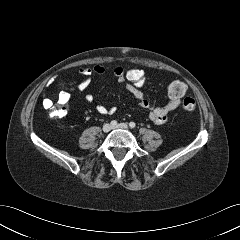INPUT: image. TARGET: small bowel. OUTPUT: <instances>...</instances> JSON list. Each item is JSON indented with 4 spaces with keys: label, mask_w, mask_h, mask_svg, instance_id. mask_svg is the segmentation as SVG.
Wrapping results in <instances>:
<instances>
[{
    "label": "small bowel",
    "mask_w": 240,
    "mask_h": 240,
    "mask_svg": "<svg viewBox=\"0 0 240 240\" xmlns=\"http://www.w3.org/2000/svg\"><path fill=\"white\" fill-rule=\"evenodd\" d=\"M78 73L83 77L82 81L77 85L80 92L86 91L92 83L94 76H102L105 73V68L102 64H96L93 67H80ZM114 79L120 84L140 105L149 112L150 120L157 124L162 125L168 121L169 114L176 110L181 105V99L170 98L169 101L163 106L155 105L141 90L130 85L125 77V69L122 66H116L112 70ZM58 99L66 104L69 99V93L62 91L58 95ZM85 99L88 102L94 100V95L90 92L86 93ZM43 107L49 109L52 107L53 102L49 98H44L42 101ZM96 111L102 115H111L116 112V107H106L98 104Z\"/></svg>",
    "instance_id": "small-bowel-1"
}]
</instances>
